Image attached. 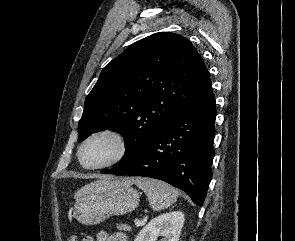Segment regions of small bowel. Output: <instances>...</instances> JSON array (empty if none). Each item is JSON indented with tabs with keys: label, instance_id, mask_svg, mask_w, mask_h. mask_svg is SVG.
Returning a JSON list of instances; mask_svg holds the SVG:
<instances>
[{
	"label": "small bowel",
	"instance_id": "c3829d8e",
	"mask_svg": "<svg viewBox=\"0 0 295 241\" xmlns=\"http://www.w3.org/2000/svg\"><path fill=\"white\" fill-rule=\"evenodd\" d=\"M69 241V240H68ZM84 241H94L92 237H87ZM97 241H126L122 234L108 235L105 232H100L97 235Z\"/></svg>",
	"mask_w": 295,
	"mask_h": 241
}]
</instances>
